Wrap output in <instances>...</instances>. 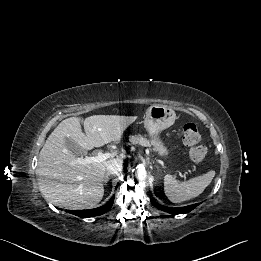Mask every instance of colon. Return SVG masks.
I'll use <instances>...</instances> for the list:
<instances>
[{
	"label": "colon",
	"mask_w": 261,
	"mask_h": 261,
	"mask_svg": "<svg viewBox=\"0 0 261 261\" xmlns=\"http://www.w3.org/2000/svg\"><path fill=\"white\" fill-rule=\"evenodd\" d=\"M183 140L190 146V158L194 163H201L206 157V147L202 144V136L194 123L183 126Z\"/></svg>",
	"instance_id": "obj_1"
}]
</instances>
